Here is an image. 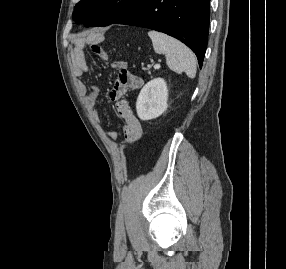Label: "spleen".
I'll list each match as a JSON object with an SVG mask.
<instances>
[{
	"label": "spleen",
	"instance_id": "1",
	"mask_svg": "<svg viewBox=\"0 0 286 269\" xmlns=\"http://www.w3.org/2000/svg\"><path fill=\"white\" fill-rule=\"evenodd\" d=\"M148 35L152 40L154 51L166 57L168 67L193 79L196 75V57L194 53L183 43L158 31H149Z\"/></svg>",
	"mask_w": 286,
	"mask_h": 269
}]
</instances>
